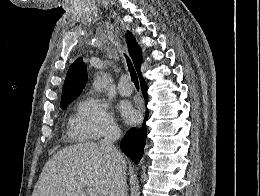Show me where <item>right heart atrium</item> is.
Returning <instances> with one entry per match:
<instances>
[{"instance_id":"obj_1","label":"right heart atrium","mask_w":260,"mask_h":196,"mask_svg":"<svg viewBox=\"0 0 260 196\" xmlns=\"http://www.w3.org/2000/svg\"><path fill=\"white\" fill-rule=\"evenodd\" d=\"M71 129L85 143H98L103 133L118 129V123L108 105L90 92L78 103Z\"/></svg>"}]
</instances>
